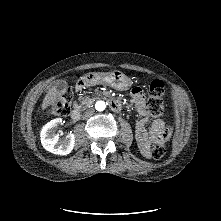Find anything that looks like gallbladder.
Listing matches in <instances>:
<instances>
[{
  "mask_svg": "<svg viewBox=\"0 0 221 221\" xmlns=\"http://www.w3.org/2000/svg\"><path fill=\"white\" fill-rule=\"evenodd\" d=\"M57 89L61 92H65L68 88V84L65 81H58L56 83Z\"/></svg>",
  "mask_w": 221,
  "mask_h": 221,
  "instance_id": "gallbladder-1",
  "label": "gallbladder"
}]
</instances>
